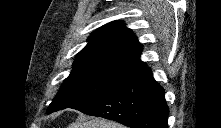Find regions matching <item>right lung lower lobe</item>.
Returning <instances> with one entry per match:
<instances>
[{
  "label": "right lung lower lobe",
  "mask_w": 221,
  "mask_h": 128,
  "mask_svg": "<svg viewBox=\"0 0 221 128\" xmlns=\"http://www.w3.org/2000/svg\"><path fill=\"white\" fill-rule=\"evenodd\" d=\"M73 108L131 128H168L169 108L164 89L154 80L147 66L103 95Z\"/></svg>",
  "instance_id": "obj_1"
}]
</instances>
